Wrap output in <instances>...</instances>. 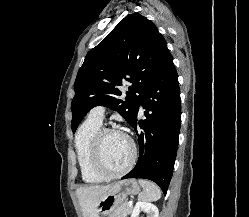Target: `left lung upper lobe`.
I'll return each instance as SVG.
<instances>
[{"label": "left lung upper lobe", "mask_w": 249, "mask_h": 217, "mask_svg": "<svg viewBox=\"0 0 249 217\" xmlns=\"http://www.w3.org/2000/svg\"><path fill=\"white\" fill-rule=\"evenodd\" d=\"M169 55L165 39L150 20L137 13L127 15L87 53L78 71L71 103L73 133L87 112L99 105L117 111L130 124L141 96ZM125 79L131 85L122 101L118 86Z\"/></svg>", "instance_id": "1"}]
</instances>
